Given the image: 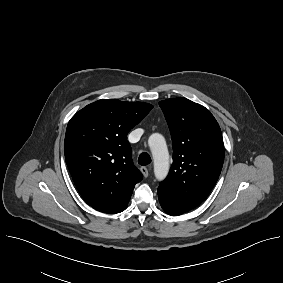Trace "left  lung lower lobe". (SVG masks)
I'll return each instance as SVG.
<instances>
[{"label":"left lung lower lobe","mask_w":283,"mask_h":283,"mask_svg":"<svg viewBox=\"0 0 283 283\" xmlns=\"http://www.w3.org/2000/svg\"><path fill=\"white\" fill-rule=\"evenodd\" d=\"M158 198H159V202L163 208V210L171 215V216H177V215H181L184 212L178 210L177 208H175L171 202L170 199L161 191H158Z\"/></svg>","instance_id":"0a47b994"}]
</instances>
